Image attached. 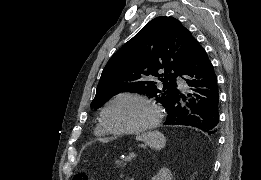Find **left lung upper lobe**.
Listing matches in <instances>:
<instances>
[{"label":"left lung upper lobe","instance_id":"left-lung-upper-lobe-1","mask_svg":"<svg viewBox=\"0 0 261 180\" xmlns=\"http://www.w3.org/2000/svg\"><path fill=\"white\" fill-rule=\"evenodd\" d=\"M197 45L177 19H153L110 58L91 107H101L119 92L151 95L167 107L176 92V76L181 75ZM153 76L163 82V90L151 81Z\"/></svg>","mask_w":261,"mask_h":180}]
</instances>
